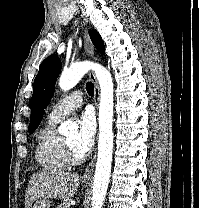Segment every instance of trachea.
Instances as JSON below:
<instances>
[{"mask_svg":"<svg viewBox=\"0 0 199 208\" xmlns=\"http://www.w3.org/2000/svg\"><path fill=\"white\" fill-rule=\"evenodd\" d=\"M86 90L90 96L94 95V84L92 82L86 83Z\"/></svg>","mask_w":199,"mask_h":208,"instance_id":"trachea-1","label":"trachea"}]
</instances>
